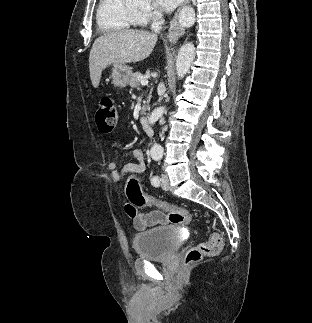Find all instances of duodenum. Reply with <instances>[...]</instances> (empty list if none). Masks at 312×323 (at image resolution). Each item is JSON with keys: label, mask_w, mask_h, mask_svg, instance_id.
Listing matches in <instances>:
<instances>
[{"label": "duodenum", "mask_w": 312, "mask_h": 323, "mask_svg": "<svg viewBox=\"0 0 312 323\" xmlns=\"http://www.w3.org/2000/svg\"><path fill=\"white\" fill-rule=\"evenodd\" d=\"M139 125L141 127V129L146 133V134H151L152 133V129L149 123V120L146 116H141L139 118Z\"/></svg>", "instance_id": "1"}]
</instances>
